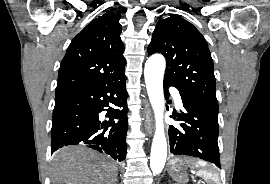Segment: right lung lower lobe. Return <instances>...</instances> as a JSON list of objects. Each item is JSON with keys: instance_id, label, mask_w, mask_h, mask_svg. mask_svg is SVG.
<instances>
[{"instance_id": "1", "label": "right lung lower lobe", "mask_w": 270, "mask_h": 184, "mask_svg": "<svg viewBox=\"0 0 270 184\" xmlns=\"http://www.w3.org/2000/svg\"><path fill=\"white\" fill-rule=\"evenodd\" d=\"M125 80L123 74L105 83L56 93L51 152L63 146L82 144L123 161L128 127ZM109 104L122 110L113 109ZM104 110L108 111L106 116L110 120L101 122L98 114ZM116 118L120 121L114 124Z\"/></svg>"}]
</instances>
